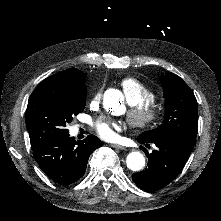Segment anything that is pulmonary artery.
<instances>
[{"instance_id":"obj_1","label":"pulmonary artery","mask_w":221,"mask_h":221,"mask_svg":"<svg viewBox=\"0 0 221 221\" xmlns=\"http://www.w3.org/2000/svg\"><path fill=\"white\" fill-rule=\"evenodd\" d=\"M140 83L128 78L122 83L121 94L125 99H133L139 93Z\"/></svg>"}]
</instances>
